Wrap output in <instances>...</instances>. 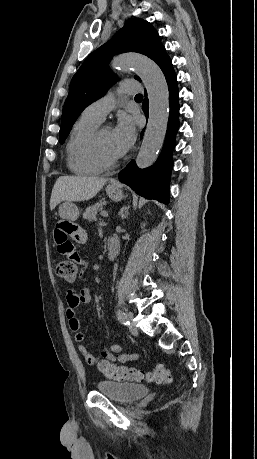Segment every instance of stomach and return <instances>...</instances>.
I'll list each match as a JSON object with an SVG mask.
<instances>
[{
    "label": "stomach",
    "mask_w": 257,
    "mask_h": 459,
    "mask_svg": "<svg viewBox=\"0 0 257 459\" xmlns=\"http://www.w3.org/2000/svg\"><path fill=\"white\" fill-rule=\"evenodd\" d=\"M106 192L108 196L114 201H120L124 198L122 190L117 186H107ZM59 215L63 219H68L70 222H74L79 217L78 207L69 201H64L59 206Z\"/></svg>",
    "instance_id": "obj_1"
}]
</instances>
